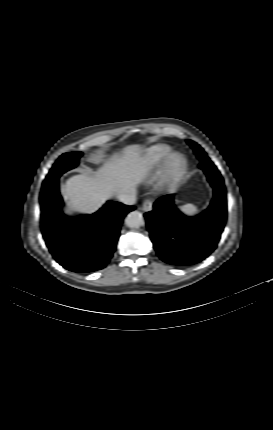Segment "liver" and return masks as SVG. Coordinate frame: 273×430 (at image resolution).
I'll return each instance as SVG.
<instances>
[{"label":"liver","mask_w":273,"mask_h":430,"mask_svg":"<svg viewBox=\"0 0 273 430\" xmlns=\"http://www.w3.org/2000/svg\"><path fill=\"white\" fill-rule=\"evenodd\" d=\"M149 163L138 145L126 147L92 174L70 177L62 195L68 203L67 216L80 217L97 212L108 199L121 193L136 192L149 176Z\"/></svg>","instance_id":"obj_1"}]
</instances>
